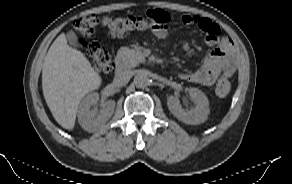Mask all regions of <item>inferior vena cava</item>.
<instances>
[{
	"label": "inferior vena cava",
	"mask_w": 292,
	"mask_h": 184,
	"mask_svg": "<svg viewBox=\"0 0 292 184\" xmlns=\"http://www.w3.org/2000/svg\"><path fill=\"white\" fill-rule=\"evenodd\" d=\"M131 78V72L128 70L118 71L114 77V83L117 86H124L126 85Z\"/></svg>",
	"instance_id": "602c4592"
}]
</instances>
